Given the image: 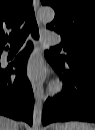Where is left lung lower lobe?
Masks as SVG:
<instances>
[{
    "mask_svg": "<svg viewBox=\"0 0 95 130\" xmlns=\"http://www.w3.org/2000/svg\"><path fill=\"white\" fill-rule=\"evenodd\" d=\"M45 57L63 80V92L44 104V125L57 121L95 122V60L61 62L45 52Z\"/></svg>",
    "mask_w": 95,
    "mask_h": 130,
    "instance_id": "1",
    "label": "left lung lower lobe"
}]
</instances>
